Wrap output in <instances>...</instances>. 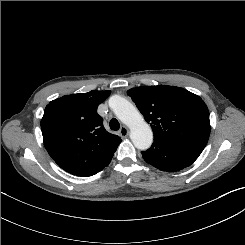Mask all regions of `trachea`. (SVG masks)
I'll return each mask as SVG.
<instances>
[{"label":"trachea","mask_w":245,"mask_h":245,"mask_svg":"<svg viewBox=\"0 0 245 245\" xmlns=\"http://www.w3.org/2000/svg\"><path fill=\"white\" fill-rule=\"evenodd\" d=\"M109 125H110V129L114 130V131H117L120 128V124H119L118 120L115 118L111 119Z\"/></svg>","instance_id":"3493384b"}]
</instances>
